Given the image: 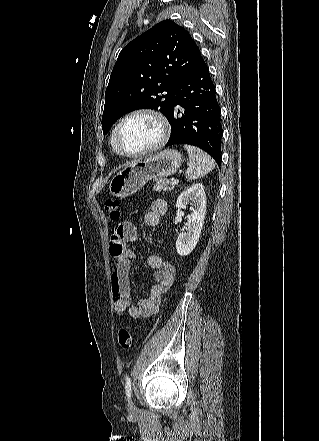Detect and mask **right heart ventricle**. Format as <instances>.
<instances>
[{"label":"right heart ventricle","mask_w":319,"mask_h":441,"mask_svg":"<svg viewBox=\"0 0 319 441\" xmlns=\"http://www.w3.org/2000/svg\"><path fill=\"white\" fill-rule=\"evenodd\" d=\"M111 146H112V148H113V151H114L116 154H119L118 151L116 150L115 146H114L113 133H112V136H111Z\"/></svg>","instance_id":"obj_1"}]
</instances>
